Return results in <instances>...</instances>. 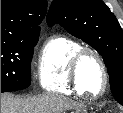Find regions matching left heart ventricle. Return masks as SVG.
<instances>
[{
    "label": "left heart ventricle",
    "mask_w": 123,
    "mask_h": 113,
    "mask_svg": "<svg viewBox=\"0 0 123 113\" xmlns=\"http://www.w3.org/2000/svg\"><path fill=\"white\" fill-rule=\"evenodd\" d=\"M80 80L86 93L96 94L103 86V74L98 61L88 55L80 65Z\"/></svg>",
    "instance_id": "b2bd125f"
}]
</instances>
